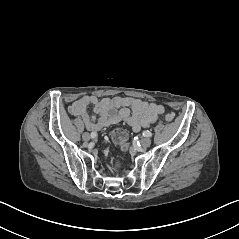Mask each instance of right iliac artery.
Here are the masks:
<instances>
[{
	"label": "right iliac artery",
	"instance_id": "right-iliac-artery-1",
	"mask_svg": "<svg viewBox=\"0 0 239 239\" xmlns=\"http://www.w3.org/2000/svg\"><path fill=\"white\" fill-rule=\"evenodd\" d=\"M96 136H97V133H96V132H92V133H91V137H92V138H95Z\"/></svg>",
	"mask_w": 239,
	"mask_h": 239
}]
</instances>
